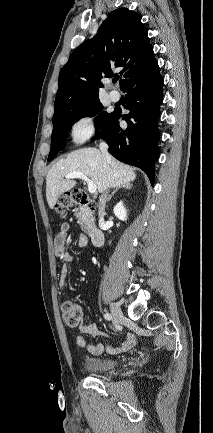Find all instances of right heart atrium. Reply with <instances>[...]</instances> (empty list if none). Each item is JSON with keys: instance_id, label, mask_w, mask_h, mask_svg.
<instances>
[{"instance_id": "d8ad5b80", "label": "right heart atrium", "mask_w": 213, "mask_h": 433, "mask_svg": "<svg viewBox=\"0 0 213 433\" xmlns=\"http://www.w3.org/2000/svg\"><path fill=\"white\" fill-rule=\"evenodd\" d=\"M95 131L94 118L84 116L78 119L71 128V134L75 141L82 142L88 139Z\"/></svg>"}]
</instances>
